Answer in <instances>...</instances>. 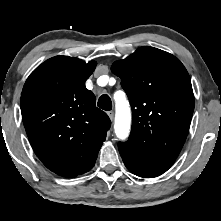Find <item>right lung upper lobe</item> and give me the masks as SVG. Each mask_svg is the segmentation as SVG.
<instances>
[{"instance_id":"obj_1","label":"right lung upper lobe","mask_w":221,"mask_h":221,"mask_svg":"<svg viewBox=\"0 0 221 221\" xmlns=\"http://www.w3.org/2000/svg\"><path fill=\"white\" fill-rule=\"evenodd\" d=\"M95 67V61L55 56L30 74L22 90V120L31 146L41 162L60 176L87 172L111 125L85 87Z\"/></svg>"}]
</instances>
